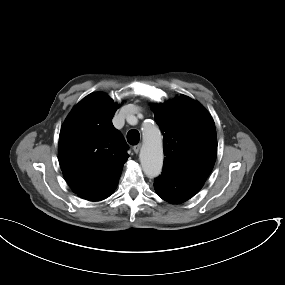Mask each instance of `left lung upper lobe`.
Instances as JSON below:
<instances>
[{
	"label": "left lung upper lobe",
	"instance_id": "1",
	"mask_svg": "<svg viewBox=\"0 0 285 285\" xmlns=\"http://www.w3.org/2000/svg\"><path fill=\"white\" fill-rule=\"evenodd\" d=\"M164 139L163 171L203 183L217 156V138L211 115L198 102L181 95L153 107Z\"/></svg>",
	"mask_w": 285,
	"mask_h": 285
}]
</instances>
